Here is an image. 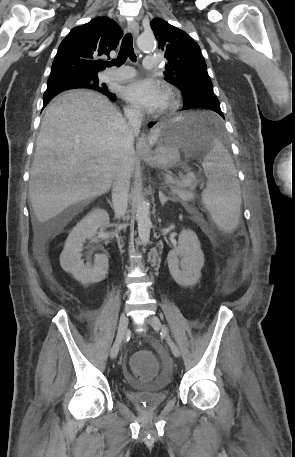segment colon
Listing matches in <instances>:
<instances>
[{"label": "colon", "instance_id": "5ec220e1", "mask_svg": "<svg viewBox=\"0 0 295 457\" xmlns=\"http://www.w3.org/2000/svg\"><path fill=\"white\" fill-rule=\"evenodd\" d=\"M246 236L240 234L238 244H246ZM133 370L135 378H139L141 383H148L150 378H156L158 365L156 363L153 351H134L133 352Z\"/></svg>", "mask_w": 295, "mask_h": 457}]
</instances>
